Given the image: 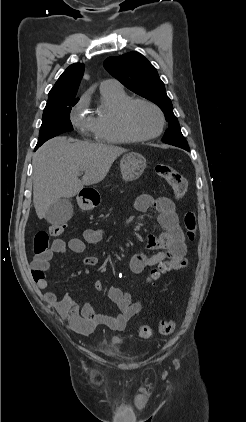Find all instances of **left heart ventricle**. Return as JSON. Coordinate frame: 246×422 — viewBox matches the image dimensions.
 Returning a JSON list of instances; mask_svg holds the SVG:
<instances>
[{
	"label": "left heart ventricle",
	"mask_w": 246,
	"mask_h": 422,
	"mask_svg": "<svg viewBox=\"0 0 246 422\" xmlns=\"http://www.w3.org/2000/svg\"><path fill=\"white\" fill-rule=\"evenodd\" d=\"M130 119L134 129L142 135L155 133L160 125L158 113L146 104L135 105L131 111Z\"/></svg>",
	"instance_id": "obj_1"
}]
</instances>
